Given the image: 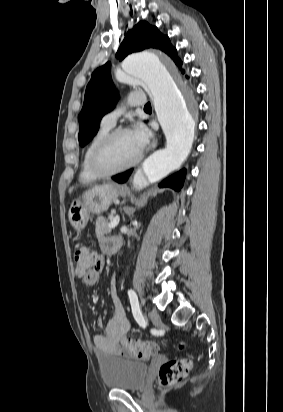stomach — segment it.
<instances>
[{"label":"stomach","mask_w":283,"mask_h":412,"mask_svg":"<svg viewBox=\"0 0 283 412\" xmlns=\"http://www.w3.org/2000/svg\"><path fill=\"white\" fill-rule=\"evenodd\" d=\"M119 194L120 189L113 184L95 186L86 191L80 199L72 201L69 207L70 224L80 232L87 225L91 213L100 214L106 211Z\"/></svg>","instance_id":"stomach-1"}]
</instances>
